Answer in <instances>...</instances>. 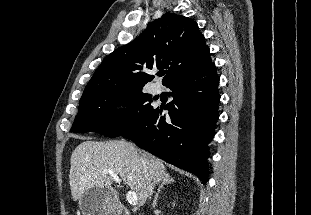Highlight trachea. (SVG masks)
Masks as SVG:
<instances>
[{
  "instance_id": "1",
  "label": "trachea",
  "mask_w": 311,
  "mask_h": 215,
  "mask_svg": "<svg viewBox=\"0 0 311 215\" xmlns=\"http://www.w3.org/2000/svg\"><path fill=\"white\" fill-rule=\"evenodd\" d=\"M159 76H163V73H160Z\"/></svg>"
}]
</instances>
